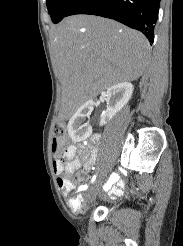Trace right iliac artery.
I'll list each match as a JSON object with an SVG mask.
<instances>
[{
	"instance_id": "82829eb1",
	"label": "right iliac artery",
	"mask_w": 183,
	"mask_h": 246,
	"mask_svg": "<svg viewBox=\"0 0 183 246\" xmlns=\"http://www.w3.org/2000/svg\"><path fill=\"white\" fill-rule=\"evenodd\" d=\"M95 179H96V176H93V178H92V180H91V183H94ZM116 180H118V176H117L115 173H113L112 176H111V178L109 179L108 184H106V185L104 186V189H106V190L109 189V188H110V185H111L113 182H115Z\"/></svg>"
}]
</instances>
